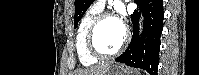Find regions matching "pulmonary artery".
Segmentation results:
<instances>
[{
	"instance_id": "1",
	"label": "pulmonary artery",
	"mask_w": 199,
	"mask_h": 75,
	"mask_svg": "<svg viewBox=\"0 0 199 75\" xmlns=\"http://www.w3.org/2000/svg\"><path fill=\"white\" fill-rule=\"evenodd\" d=\"M94 6L102 10L105 6V1H96Z\"/></svg>"
}]
</instances>
